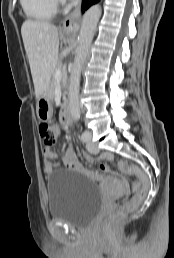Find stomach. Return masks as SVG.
<instances>
[{
	"label": "stomach",
	"mask_w": 174,
	"mask_h": 258,
	"mask_svg": "<svg viewBox=\"0 0 174 258\" xmlns=\"http://www.w3.org/2000/svg\"><path fill=\"white\" fill-rule=\"evenodd\" d=\"M37 116L41 121H48L51 119L53 114L52 108V95L50 89L45 91L37 100L36 108Z\"/></svg>",
	"instance_id": "0dacf381"
}]
</instances>
